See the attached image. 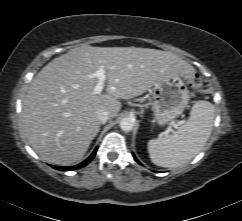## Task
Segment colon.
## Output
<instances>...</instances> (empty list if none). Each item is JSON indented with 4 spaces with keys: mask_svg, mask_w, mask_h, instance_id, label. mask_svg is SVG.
<instances>
[{
    "mask_svg": "<svg viewBox=\"0 0 242 221\" xmlns=\"http://www.w3.org/2000/svg\"><path fill=\"white\" fill-rule=\"evenodd\" d=\"M191 83H192L193 87L195 88V90L198 93H201L202 92V88H201V85H200V79H199V77L197 75H194L191 78Z\"/></svg>",
    "mask_w": 242,
    "mask_h": 221,
    "instance_id": "1",
    "label": "colon"
}]
</instances>
